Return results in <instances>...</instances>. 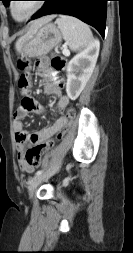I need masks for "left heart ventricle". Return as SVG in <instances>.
<instances>
[{
  "instance_id": "1",
  "label": "left heart ventricle",
  "mask_w": 133,
  "mask_h": 253,
  "mask_svg": "<svg viewBox=\"0 0 133 253\" xmlns=\"http://www.w3.org/2000/svg\"><path fill=\"white\" fill-rule=\"evenodd\" d=\"M34 1H15L13 4V11L17 18L26 16L34 7Z\"/></svg>"
}]
</instances>
